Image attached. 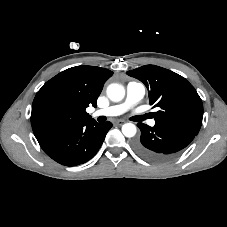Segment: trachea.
I'll use <instances>...</instances> for the list:
<instances>
[{
  "label": "trachea",
  "instance_id": "1",
  "mask_svg": "<svg viewBox=\"0 0 227 227\" xmlns=\"http://www.w3.org/2000/svg\"><path fill=\"white\" fill-rule=\"evenodd\" d=\"M147 117H148V115H139V116L133 117V120L136 122H139V121L145 120Z\"/></svg>",
  "mask_w": 227,
  "mask_h": 227
}]
</instances>
